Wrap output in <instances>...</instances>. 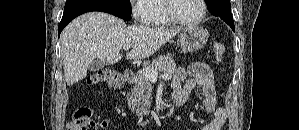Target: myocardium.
I'll use <instances>...</instances> for the list:
<instances>
[{"instance_id": "obj_1", "label": "myocardium", "mask_w": 299, "mask_h": 130, "mask_svg": "<svg viewBox=\"0 0 299 130\" xmlns=\"http://www.w3.org/2000/svg\"><path fill=\"white\" fill-rule=\"evenodd\" d=\"M173 1L174 0H165L164 6H165V13L167 17L174 24L181 25V26H194L199 24L206 16L207 7H206L205 0H199L201 12L197 18L192 20H183L178 18L173 12V6H172Z\"/></svg>"}]
</instances>
